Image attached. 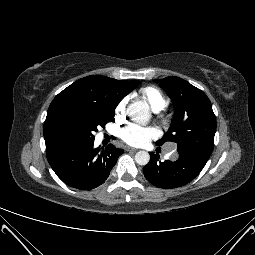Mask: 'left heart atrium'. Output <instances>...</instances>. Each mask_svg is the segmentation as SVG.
I'll list each match as a JSON object with an SVG mask.
<instances>
[{"instance_id":"obj_1","label":"left heart atrium","mask_w":255,"mask_h":255,"mask_svg":"<svg viewBox=\"0 0 255 255\" xmlns=\"http://www.w3.org/2000/svg\"><path fill=\"white\" fill-rule=\"evenodd\" d=\"M157 135L158 132L155 128L136 124L126 126L120 133L122 140L132 146H144Z\"/></svg>"}]
</instances>
